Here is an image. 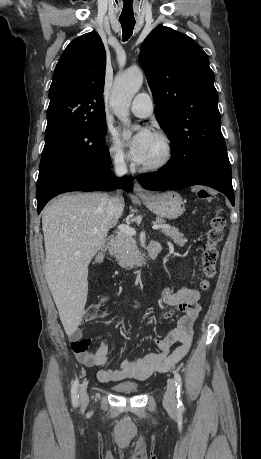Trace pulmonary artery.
Instances as JSON below:
<instances>
[{
  "mask_svg": "<svg viewBox=\"0 0 261 459\" xmlns=\"http://www.w3.org/2000/svg\"><path fill=\"white\" fill-rule=\"evenodd\" d=\"M131 112L138 117H147L153 112V101L148 93H139L130 105Z\"/></svg>",
  "mask_w": 261,
  "mask_h": 459,
  "instance_id": "pulmonary-artery-1",
  "label": "pulmonary artery"
}]
</instances>
